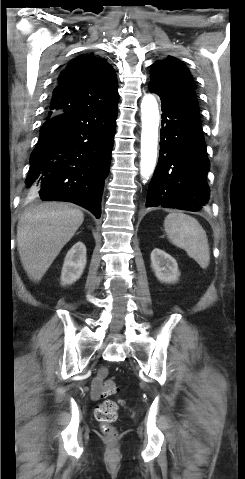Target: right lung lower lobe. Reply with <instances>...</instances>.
I'll return each instance as SVG.
<instances>
[{
  "instance_id": "right-lung-lower-lobe-1",
  "label": "right lung lower lobe",
  "mask_w": 245,
  "mask_h": 479,
  "mask_svg": "<svg viewBox=\"0 0 245 479\" xmlns=\"http://www.w3.org/2000/svg\"><path fill=\"white\" fill-rule=\"evenodd\" d=\"M116 117L117 105L69 111L46 119L30 158L27 196L72 202L99 218Z\"/></svg>"
}]
</instances>
